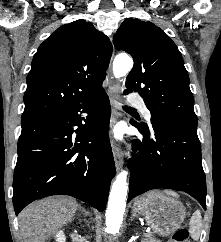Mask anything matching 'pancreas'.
Instances as JSON below:
<instances>
[{"mask_svg":"<svg viewBox=\"0 0 221 242\" xmlns=\"http://www.w3.org/2000/svg\"><path fill=\"white\" fill-rule=\"evenodd\" d=\"M142 242H161V241L155 238L149 237L148 239H146V241H142Z\"/></svg>","mask_w":221,"mask_h":242,"instance_id":"cf45deb5","label":"pancreas"}]
</instances>
